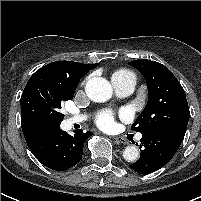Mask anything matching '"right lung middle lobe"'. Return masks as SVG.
Segmentation results:
<instances>
[{
	"label": "right lung middle lobe",
	"mask_w": 201,
	"mask_h": 201,
	"mask_svg": "<svg viewBox=\"0 0 201 201\" xmlns=\"http://www.w3.org/2000/svg\"><path fill=\"white\" fill-rule=\"evenodd\" d=\"M78 82L40 68L29 79L21 96V126L44 129L60 127L61 104L71 100Z\"/></svg>",
	"instance_id": "1"
}]
</instances>
